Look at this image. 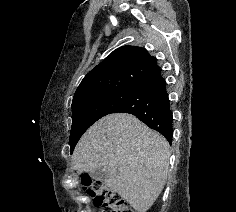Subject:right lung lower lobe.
I'll list each match as a JSON object with an SVG mask.
<instances>
[{
	"label": "right lung lower lobe",
	"mask_w": 236,
	"mask_h": 212,
	"mask_svg": "<svg viewBox=\"0 0 236 212\" xmlns=\"http://www.w3.org/2000/svg\"><path fill=\"white\" fill-rule=\"evenodd\" d=\"M116 112L135 115L171 143L173 116L160 68L143 77L113 113Z\"/></svg>",
	"instance_id": "right-lung-lower-lobe-1"
}]
</instances>
